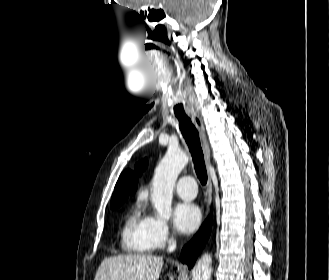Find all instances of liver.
<instances>
[{"label": "liver", "instance_id": "obj_1", "mask_svg": "<svg viewBox=\"0 0 329 280\" xmlns=\"http://www.w3.org/2000/svg\"><path fill=\"white\" fill-rule=\"evenodd\" d=\"M163 258L152 255H118L105 258L94 280H158Z\"/></svg>", "mask_w": 329, "mask_h": 280}]
</instances>
